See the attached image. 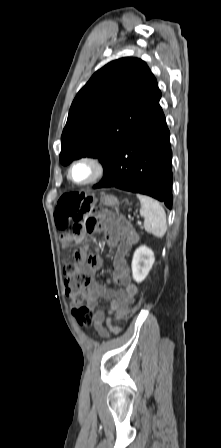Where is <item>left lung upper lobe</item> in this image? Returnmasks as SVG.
I'll return each mask as SVG.
<instances>
[{
    "label": "left lung upper lobe",
    "instance_id": "1",
    "mask_svg": "<svg viewBox=\"0 0 221 448\" xmlns=\"http://www.w3.org/2000/svg\"><path fill=\"white\" fill-rule=\"evenodd\" d=\"M161 97L157 81L138 58H120L94 73L75 97L61 136L60 162L99 158L103 167L122 140Z\"/></svg>",
    "mask_w": 221,
    "mask_h": 448
}]
</instances>
